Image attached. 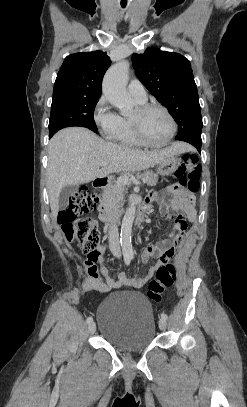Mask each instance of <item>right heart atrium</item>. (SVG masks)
I'll use <instances>...</instances> for the list:
<instances>
[{
    "label": "right heart atrium",
    "instance_id": "1",
    "mask_svg": "<svg viewBox=\"0 0 247 407\" xmlns=\"http://www.w3.org/2000/svg\"><path fill=\"white\" fill-rule=\"evenodd\" d=\"M93 120L106 138H112L118 128L120 116L112 111L107 98L102 95L93 109Z\"/></svg>",
    "mask_w": 247,
    "mask_h": 407
}]
</instances>
